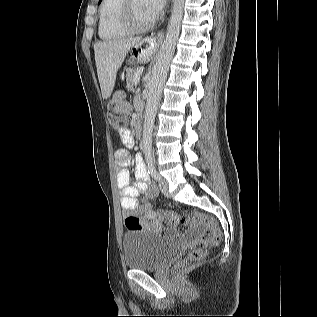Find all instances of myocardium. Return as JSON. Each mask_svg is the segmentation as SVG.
Segmentation results:
<instances>
[{
    "label": "myocardium",
    "instance_id": "myocardium-1",
    "mask_svg": "<svg viewBox=\"0 0 317 317\" xmlns=\"http://www.w3.org/2000/svg\"><path fill=\"white\" fill-rule=\"evenodd\" d=\"M119 22L129 33H142L154 26L155 19L145 24H137L133 17L132 0H122L119 7Z\"/></svg>",
    "mask_w": 317,
    "mask_h": 317
}]
</instances>
